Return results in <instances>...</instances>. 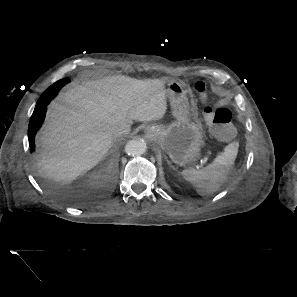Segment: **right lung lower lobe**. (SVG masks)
Instances as JSON below:
<instances>
[{
	"label": "right lung lower lobe",
	"mask_w": 297,
	"mask_h": 297,
	"mask_svg": "<svg viewBox=\"0 0 297 297\" xmlns=\"http://www.w3.org/2000/svg\"><path fill=\"white\" fill-rule=\"evenodd\" d=\"M54 97H40L38 100L36 107L34 109V112L31 117V121L29 123V128H28V139H29V145H30V151L34 152L35 150V143H34V138L37 133V131L40 129L42 126V123L45 119L46 115V110H47V105L50 103V101Z\"/></svg>",
	"instance_id": "right-lung-lower-lobe-1"
}]
</instances>
